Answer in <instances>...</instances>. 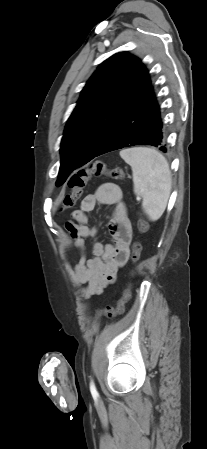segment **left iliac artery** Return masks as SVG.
<instances>
[{
  "label": "left iliac artery",
  "mask_w": 207,
  "mask_h": 449,
  "mask_svg": "<svg viewBox=\"0 0 207 449\" xmlns=\"http://www.w3.org/2000/svg\"><path fill=\"white\" fill-rule=\"evenodd\" d=\"M90 392L92 394L93 397H97L98 396V392L96 390L95 384L93 381L90 382Z\"/></svg>",
  "instance_id": "obj_1"
}]
</instances>
